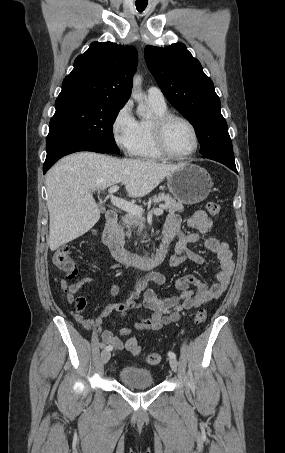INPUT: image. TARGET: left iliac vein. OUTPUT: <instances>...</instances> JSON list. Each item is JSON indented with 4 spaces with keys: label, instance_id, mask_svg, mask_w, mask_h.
<instances>
[{
    "label": "left iliac vein",
    "instance_id": "obj_1",
    "mask_svg": "<svg viewBox=\"0 0 285 453\" xmlns=\"http://www.w3.org/2000/svg\"><path fill=\"white\" fill-rule=\"evenodd\" d=\"M169 364H170L171 369H172L174 372H176V371H177V368H178V362H177L176 358H170Z\"/></svg>",
    "mask_w": 285,
    "mask_h": 453
}]
</instances>
